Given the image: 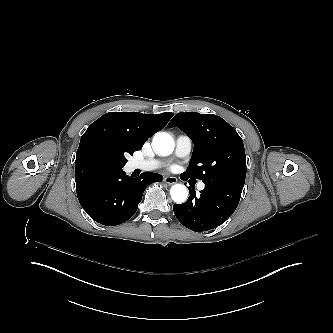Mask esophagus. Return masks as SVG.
I'll list each match as a JSON object with an SVG mask.
<instances>
[{"label":"esophagus","mask_w":333,"mask_h":333,"mask_svg":"<svg viewBox=\"0 0 333 333\" xmlns=\"http://www.w3.org/2000/svg\"><path fill=\"white\" fill-rule=\"evenodd\" d=\"M177 181H178V179L176 177L168 176V177L164 178V182L167 184H170V185L175 184Z\"/></svg>","instance_id":"1"}]
</instances>
